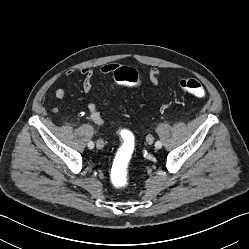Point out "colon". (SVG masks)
<instances>
[{"label":"colon","instance_id":"colon-1","mask_svg":"<svg viewBox=\"0 0 249 249\" xmlns=\"http://www.w3.org/2000/svg\"><path fill=\"white\" fill-rule=\"evenodd\" d=\"M114 80L118 84L130 87H136L140 83L138 73L128 67L118 68L114 73ZM179 86L183 91L199 98L204 97L206 94L202 83L195 79H181ZM119 134L122 144L112 167V183L116 188L124 187L127 182L129 164L135 149L134 135L128 129H121Z\"/></svg>","mask_w":249,"mask_h":249}]
</instances>
